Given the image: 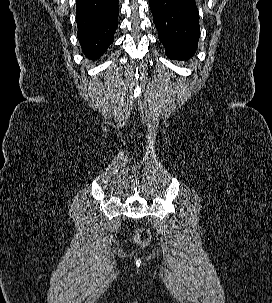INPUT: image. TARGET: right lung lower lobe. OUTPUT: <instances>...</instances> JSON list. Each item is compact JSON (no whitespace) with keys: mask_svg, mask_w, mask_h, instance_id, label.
Instances as JSON below:
<instances>
[{"mask_svg":"<svg viewBox=\"0 0 272 303\" xmlns=\"http://www.w3.org/2000/svg\"><path fill=\"white\" fill-rule=\"evenodd\" d=\"M118 15V0H76L78 40L88 59L96 60L113 43Z\"/></svg>","mask_w":272,"mask_h":303,"instance_id":"right-lung-lower-lobe-1","label":"right lung lower lobe"}]
</instances>
